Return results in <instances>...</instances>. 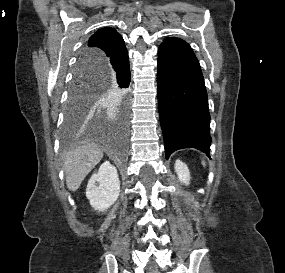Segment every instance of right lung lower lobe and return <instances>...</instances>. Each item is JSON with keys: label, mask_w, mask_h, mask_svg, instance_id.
<instances>
[{"label": "right lung lower lobe", "mask_w": 285, "mask_h": 273, "mask_svg": "<svg viewBox=\"0 0 285 273\" xmlns=\"http://www.w3.org/2000/svg\"><path fill=\"white\" fill-rule=\"evenodd\" d=\"M128 52L117 58L104 59L98 58L92 61L88 68L91 71L101 74L104 80L118 90L125 91L130 83V68ZM121 126L125 128L126 119L124 115L121 117Z\"/></svg>", "instance_id": "1"}]
</instances>
